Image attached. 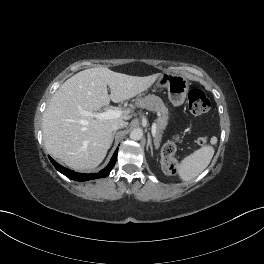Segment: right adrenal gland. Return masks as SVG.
<instances>
[{"instance_id": "obj_1", "label": "right adrenal gland", "mask_w": 264, "mask_h": 264, "mask_svg": "<svg viewBox=\"0 0 264 264\" xmlns=\"http://www.w3.org/2000/svg\"><path fill=\"white\" fill-rule=\"evenodd\" d=\"M115 134H116V131H114V132L112 133L111 143H112L113 140H114V136H115Z\"/></svg>"}]
</instances>
